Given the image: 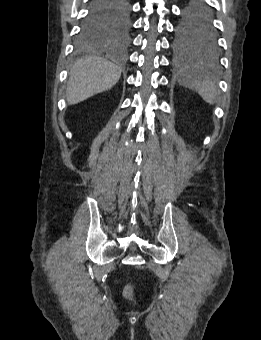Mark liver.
Masks as SVG:
<instances>
[{"label":"liver","instance_id":"1","mask_svg":"<svg viewBox=\"0 0 261 340\" xmlns=\"http://www.w3.org/2000/svg\"><path fill=\"white\" fill-rule=\"evenodd\" d=\"M121 77V69L101 57L79 59L70 71L66 98L70 105L80 103L113 87Z\"/></svg>","mask_w":261,"mask_h":340}]
</instances>
